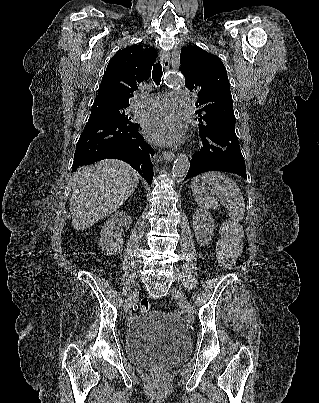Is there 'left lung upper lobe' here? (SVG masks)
Returning <instances> with one entry per match:
<instances>
[{"mask_svg":"<svg viewBox=\"0 0 319 403\" xmlns=\"http://www.w3.org/2000/svg\"><path fill=\"white\" fill-rule=\"evenodd\" d=\"M180 63L185 86L199 96L195 105L200 132L220 123L235 122L227 71L220 58L189 46L181 50Z\"/></svg>","mask_w":319,"mask_h":403,"instance_id":"5c2ea615","label":"left lung upper lobe"}]
</instances>
